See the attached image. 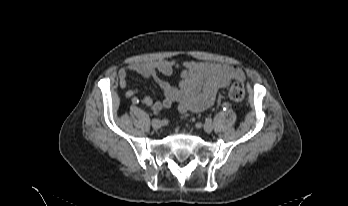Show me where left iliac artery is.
Instances as JSON below:
<instances>
[{
	"instance_id": "1",
	"label": "left iliac artery",
	"mask_w": 348,
	"mask_h": 206,
	"mask_svg": "<svg viewBox=\"0 0 348 206\" xmlns=\"http://www.w3.org/2000/svg\"><path fill=\"white\" fill-rule=\"evenodd\" d=\"M231 108V105L229 103H224L223 110L228 111Z\"/></svg>"
}]
</instances>
